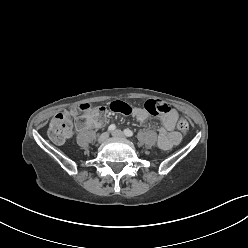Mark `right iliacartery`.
<instances>
[{
  "mask_svg": "<svg viewBox=\"0 0 248 248\" xmlns=\"http://www.w3.org/2000/svg\"><path fill=\"white\" fill-rule=\"evenodd\" d=\"M116 128V126L114 124H111L109 127H108V131H114Z\"/></svg>",
  "mask_w": 248,
  "mask_h": 248,
  "instance_id": "right-iliac-artery-1",
  "label": "right iliac artery"
}]
</instances>
